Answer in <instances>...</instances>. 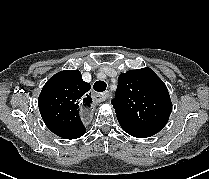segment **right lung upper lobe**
Masks as SVG:
<instances>
[{
  "label": "right lung upper lobe",
  "mask_w": 209,
  "mask_h": 179,
  "mask_svg": "<svg viewBox=\"0 0 209 179\" xmlns=\"http://www.w3.org/2000/svg\"><path fill=\"white\" fill-rule=\"evenodd\" d=\"M90 88L78 70L61 71L46 82L38 106L50 131L65 139H76L85 134L79 111L91 106L92 98L87 94Z\"/></svg>",
  "instance_id": "obj_1"
}]
</instances>
